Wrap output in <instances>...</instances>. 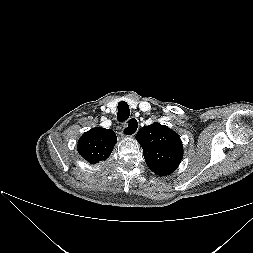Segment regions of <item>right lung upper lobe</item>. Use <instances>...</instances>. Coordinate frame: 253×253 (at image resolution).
I'll list each match as a JSON object with an SVG mask.
<instances>
[{
	"label": "right lung upper lobe",
	"instance_id": "1",
	"mask_svg": "<svg viewBox=\"0 0 253 253\" xmlns=\"http://www.w3.org/2000/svg\"><path fill=\"white\" fill-rule=\"evenodd\" d=\"M117 142L112 129L101 127L85 132L78 141L79 154L91 164L106 160Z\"/></svg>",
	"mask_w": 253,
	"mask_h": 253
}]
</instances>
